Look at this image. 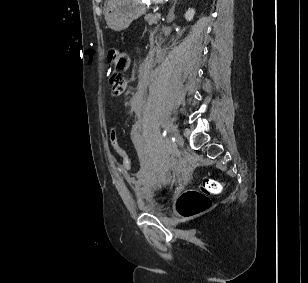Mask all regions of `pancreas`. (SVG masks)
Listing matches in <instances>:
<instances>
[{
  "label": "pancreas",
  "mask_w": 308,
  "mask_h": 283,
  "mask_svg": "<svg viewBox=\"0 0 308 283\" xmlns=\"http://www.w3.org/2000/svg\"><path fill=\"white\" fill-rule=\"evenodd\" d=\"M158 19L159 18L156 16V14H147L145 16V20L148 22L149 25L156 24Z\"/></svg>",
  "instance_id": "obj_1"
}]
</instances>
